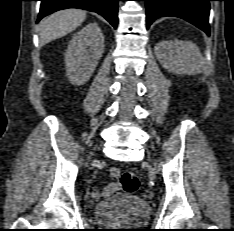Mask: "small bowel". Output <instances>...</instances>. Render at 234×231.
Returning a JSON list of instances; mask_svg holds the SVG:
<instances>
[{
  "mask_svg": "<svg viewBox=\"0 0 234 231\" xmlns=\"http://www.w3.org/2000/svg\"><path fill=\"white\" fill-rule=\"evenodd\" d=\"M119 189L120 184L117 182H111L102 189L98 188L97 186H94L91 190V196L94 200H100L104 197L111 196Z\"/></svg>",
  "mask_w": 234,
  "mask_h": 231,
  "instance_id": "small-bowel-1",
  "label": "small bowel"
}]
</instances>
